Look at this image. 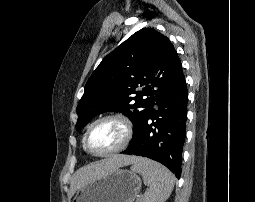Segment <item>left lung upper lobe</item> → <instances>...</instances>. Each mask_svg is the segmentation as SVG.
I'll return each mask as SVG.
<instances>
[{
	"instance_id": "5c2ea615",
	"label": "left lung upper lobe",
	"mask_w": 255,
	"mask_h": 202,
	"mask_svg": "<svg viewBox=\"0 0 255 202\" xmlns=\"http://www.w3.org/2000/svg\"><path fill=\"white\" fill-rule=\"evenodd\" d=\"M184 79L170 40L154 29H141L108 54L90 76L77 106L76 127H84L102 112L118 111L132 121L134 137L153 105Z\"/></svg>"
}]
</instances>
